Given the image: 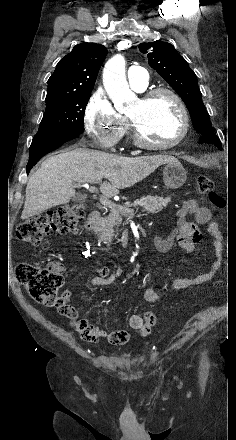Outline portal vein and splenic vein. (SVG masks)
<instances>
[{"label":"portal vein and splenic vein","instance_id":"1","mask_svg":"<svg viewBox=\"0 0 236 440\" xmlns=\"http://www.w3.org/2000/svg\"><path fill=\"white\" fill-rule=\"evenodd\" d=\"M78 186L88 187V184H80L79 183ZM89 190L91 192H97V188L96 187H91V188H89ZM100 203L103 206L110 208L111 210H114V209H116L118 207V205L116 203L112 202L111 200L108 199L107 196H104V195L100 196ZM133 212H134L133 209H129V210L126 211V213H129V214H133Z\"/></svg>","mask_w":236,"mask_h":440}]
</instances>
